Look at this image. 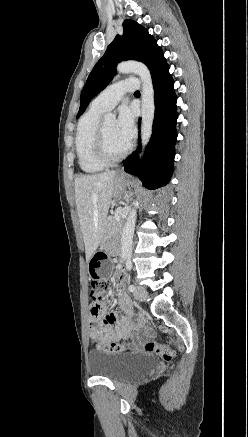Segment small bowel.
Here are the masks:
<instances>
[{"label":"small bowel","mask_w":248,"mask_h":437,"mask_svg":"<svg viewBox=\"0 0 248 437\" xmlns=\"http://www.w3.org/2000/svg\"><path fill=\"white\" fill-rule=\"evenodd\" d=\"M125 275L120 274L117 278L118 304L124 311V315L115 320L113 315H105V308L100 302H93L90 306V338L101 344L115 343L122 339L133 338V347L142 349L139 335L148 333L144 325L133 328L131 322L132 305L130 299L124 294L122 287Z\"/></svg>","instance_id":"c3829d8e"}]
</instances>
